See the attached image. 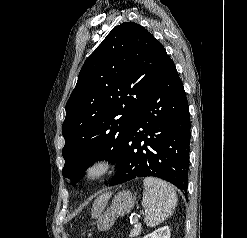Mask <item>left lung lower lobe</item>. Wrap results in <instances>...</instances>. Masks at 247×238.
<instances>
[{"label":"left lung lower lobe","mask_w":247,"mask_h":238,"mask_svg":"<svg viewBox=\"0 0 247 238\" xmlns=\"http://www.w3.org/2000/svg\"><path fill=\"white\" fill-rule=\"evenodd\" d=\"M190 115L174 62L168 57L139 110L109 186L154 176L186 191L189 170Z\"/></svg>","instance_id":"0a47b994"}]
</instances>
